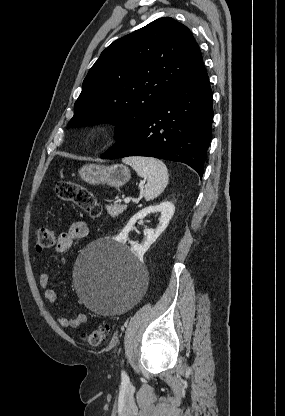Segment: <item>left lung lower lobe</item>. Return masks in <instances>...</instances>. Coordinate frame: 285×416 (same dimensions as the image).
Listing matches in <instances>:
<instances>
[{"label":"left lung lower lobe","instance_id":"1","mask_svg":"<svg viewBox=\"0 0 285 416\" xmlns=\"http://www.w3.org/2000/svg\"><path fill=\"white\" fill-rule=\"evenodd\" d=\"M212 120V91L202 61L184 84L101 158L148 156L178 161L202 178Z\"/></svg>","mask_w":285,"mask_h":416}]
</instances>
